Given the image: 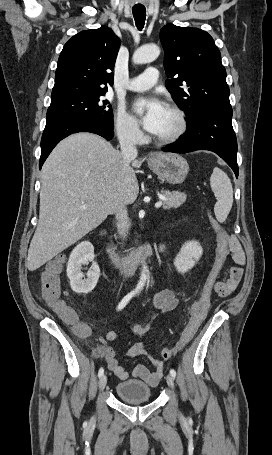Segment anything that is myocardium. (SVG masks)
<instances>
[{
	"label": "myocardium",
	"mask_w": 272,
	"mask_h": 455,
	"mask_svg": "<svg viewBox=\"0 0 272 455\" xmlns=\"http://www.w3.org/2000/svg\"><path fill=\"white\" fill-rule=\"evenodd\" d=\"M166 108L175 115L177 125L175 130L166 136H154V140L158 144L162 145L171 144L178 141L185 134L188 126L187 117L183 109L173 103L167 104Z\"/></svg>",
	"instance_id": "f54148a6"
}]
</instances>
